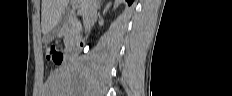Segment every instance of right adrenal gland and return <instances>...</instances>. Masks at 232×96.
<instances>
[{"label": "right adrenal gland", "instance_id": "1", "mask_svg": "<svg viewBox=\"0 0 232 96\" xmlns=\"http://www.w3.org/2000/svg\"><path fill=\"white\" fill-rule=\"evenodd\" d=\"M103 1L104 0H98V4H97V9L98 10H100Z\"/></svg>", "mask_w": 232, "mask_h": 96}]
</instances>
